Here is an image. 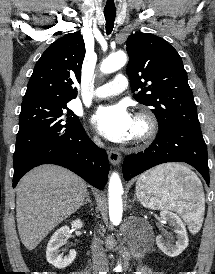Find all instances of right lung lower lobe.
Here are the masks:
<instances>
[{"label": "right lung lower lobe", "instance_id": "obj_1", "mask_svg": "<svg viewBox=\"0 0 215 274\" xmlns=\"http://www.w3.org/2000/svg\"><path fill=\"white\" fill-rule=\"evenodd\" d=\"M52 163L68 168L98 189L107 182L109 161L104 149L98 148L81 126L35 148L14 163L13 187L32 168Z\"/></svg>", "mask_w": 215, "mask_h": 274}]
</instances>
